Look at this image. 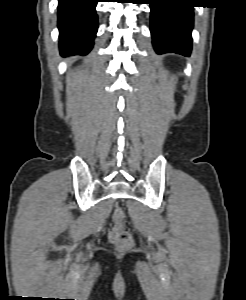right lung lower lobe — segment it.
I'll use <instances>...</instances> for the list:
<instances>
[{"label":"right lung lower lobe","instance_id":"obj_1","mask_svg":"<svg viewBox=\"0 0 246 300\" xmlns=\"http://www.w3.org/2000/svg\"><path fill=\"white\" fill-rule=\"evenodd\" d=\"M99 0H58V28L62 56L87 55L93 47Z\"/></svg>","mask_w":246,"mask_h":300}]
</instances>
